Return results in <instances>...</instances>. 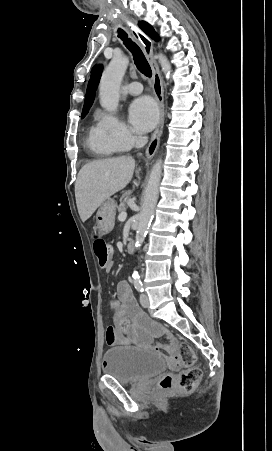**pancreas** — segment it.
<instances>
[{"label": "pancreas", "instance_id": "cf45deb5", "mask_svg": "<svg viewBox=\"0 0 272 451\" xmlns=\"http://www.w3.org/2000/svg\"><path fill=\"white\" fill-rule=\"evenodd\" d=\"M123 198H128V194H123V196L121 198L122 202L118 206V212H125V210H126V208H125L126 204H125V200H123Z\"/></svg>", "mask_w": 272, "mask_h": 451}]
</instances>
